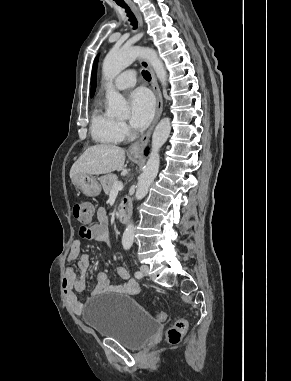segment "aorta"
<instances>
[{
  "mask_svg": "<svg viewBox=\"0 0 291 381\" xmlns=\"http://www.w3.org/2000/svg\"><path fill=\"white\" fill-rule=\"evenodd\" d=\"M138 57L147 59L160 82L166 85L167 73L162 61L154 49L135 46L122 47L118 50L109 51L103 61L102 72L104 78L107 80V114L110 116L127 117L129 114L127 102L120 93L112 88V80ZM170 131L171 123L169 118H163L154 130L151 153L137 184L135 194L136 200H141L147 195L148 189L158 173L160 164L159 151L168 139ZM133 240L134 225L133 223H129L126 226L122 237L123 248L129 249L133 244Z\"/></svg>",
  "mask_w": 291,
  "mask_h": 381,
  "instance_id": "aorta-1",
  "label": "aorta"
}]
</instances>
